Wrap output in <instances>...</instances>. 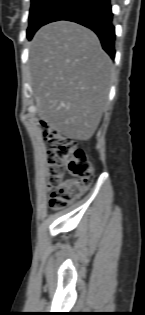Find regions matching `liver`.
<instances>
[{
	"label": "liver",
	"instance_id": "1",
	"mask_svg": "<svg viewBox=\"0 0 145 315\" xmlns=\"http://www.w3.org/2000/svg\"><path fill=\"white\" fill-rule=\"evenodd\" d=\"M29 61L40 118L67 138L90 139L107 105L113 72L97 35L77 23H50L35 34Z\"/></svg>",
	"mask_w": 145,
	"mask_h": 315
}]
</instances>
